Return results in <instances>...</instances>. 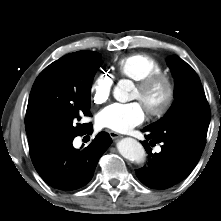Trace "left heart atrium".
<instances>
[{
	"mask_svg": "<svg viewBox=\"0 0 221 221\" xmlns=\"http://www.w3.org/2000/svg\"><path fill=\"white\" fill-rule=\"evenodd\" d=\"M145 108L139 101L114 103L102 109L97 117V125L117 132H128L145 119Z\"/></svg>",
	"mask_w": 221,
	"mask_h": 221,
	"instance_id": "39dd6f15",
	"label": "left heart atrium"
}]
</instances>
